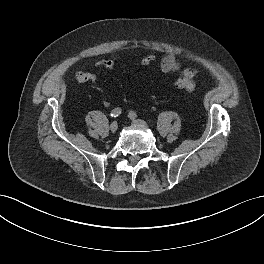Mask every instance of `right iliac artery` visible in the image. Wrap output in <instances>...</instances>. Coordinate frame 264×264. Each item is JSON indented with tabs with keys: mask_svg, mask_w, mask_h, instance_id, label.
<instances>
[{
	"mask_svg": "<svg viewBox=\"0 0 264 264\" xmlns=\"http://www.w3.org/2000/svg\"><path fill=\"white\" fill-rule=\"evenodd\" d=\"M120 114H121V109L120 108H115V109L112 110L110 115L115 118V117H118Z\"/></svg>",
	"mask_w": 264,
	"mask_h": 264,
	"instance_id": "obj_1",
	"label": "right iliac artery"
}]
</instances>
